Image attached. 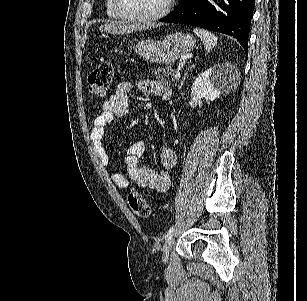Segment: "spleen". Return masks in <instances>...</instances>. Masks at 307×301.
<instances>
[{
	"label": "spleen",
	"mask_w": 307,
	"mask_h": 301,
	"mask_svg": "<svg viewBox=\"0 0 307 301\" xmlns=\"http://www.w3.org/2000/svg\"><path fill=\"white\" fill-rule=\"evenodd\" d=\"M193 32L203 40L207 52H210L213 46H216L218 36H215L214 32H209V30H204V28H193Z\"/></svg>",
	"instance_id": "spleen-1"
}]
</instances>
